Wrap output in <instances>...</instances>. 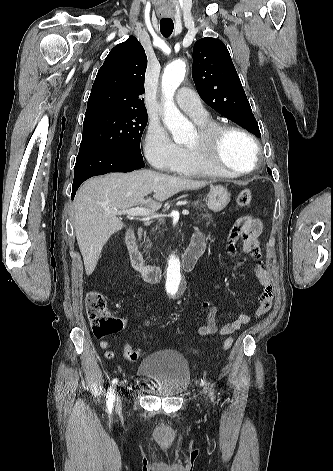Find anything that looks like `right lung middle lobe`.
I'll return each instance as SVG.
<instances>
[{"label": "right lung middle lobe", "instance_id": "obj_1", "mask_svg": "<svg viewBox=\"0 0 333 471\" xmlns=\"http://www.w3.org/2000/svg\"><path fill=\"white\" fill-rule=\"evenodd\" d=\"M147 112L113 111L85 117L80 150L107 148L143 158L141 136Z\"/></svg>", "mask_w": 333, "mask_h": 471}]
</instances>
